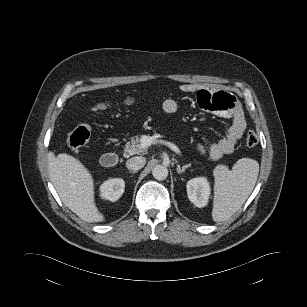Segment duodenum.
<instances>
[{
  "instance_id": "410a0bca",
  "label": "duodenum",
  "mask_w": 307,
  "mask_h": 307,
  "mask_svg": "<svg viewBox=\"0 0 307 307\" xmlns=\"http://www.w3.org/2000/svg\"><path fill=\"white\" fill-rule=\"evenodd\" d=\"M119 157L114 152H108L102 155L101 164L105 168H113L117 165Z\"/></svg>"
}]
</instances>
